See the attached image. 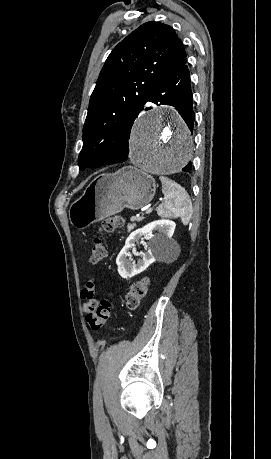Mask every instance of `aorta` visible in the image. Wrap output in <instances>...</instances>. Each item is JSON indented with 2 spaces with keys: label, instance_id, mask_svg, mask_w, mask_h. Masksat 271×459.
I'll return each instance as SVG.
<instances>
[{
  "label": "aorta",
  "instance_id": "aorta-1",
  "mask_svg": "<svg viewBox=\"0 0 271 459\" xmlns=\"http://www.w3.org/2000/svg\"><path fill=\"white\" fill-rule=\"evenodd\" d=\"M193 139L181 119L161 109L136 123L130 148L132 163L144 173L167 175L180 171L191 159Z\"/></svg>",
  "mask_w": 271,
  "mask_h": 459
}]
</instances>
